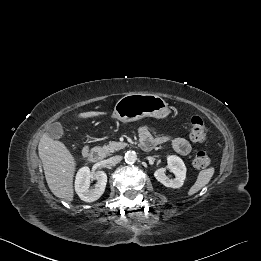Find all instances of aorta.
Returning a JSON list of instances; mask_svg holds the SVG:
<instances>
[{
  "mask_svg": "<svg viewBox=\"0 0 261 261\" xmlns=\"http://www.w3.org/2000/svg\"><path fill=\"white\" fill-rule=\"evenodd\" d=\"M125 161L127 162V163H129V164H133L134 162H136V160H137V154H136V152L135 151H131V150H129V151H127L126 153H125Z\"/></svg>",
  "mask_w": 261,
  "mask_h": 261,
  "instance_id": "1",
  "label": "aorta"
}]
</instances>
